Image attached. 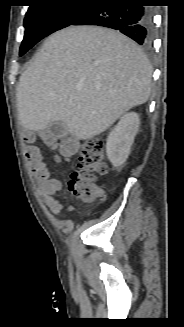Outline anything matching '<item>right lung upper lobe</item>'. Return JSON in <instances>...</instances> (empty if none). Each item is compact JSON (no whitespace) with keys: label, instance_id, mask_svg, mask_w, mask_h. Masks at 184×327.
Here are the masks:
<instances>
[{"label":"right lung upper lobe","instance_id":"cb5924a9","mask_svg":"<svg viewBox=\"0 0 184 327\" xmlns=\"http://www.w3.org/2000/svg\"><path fill=\"white\" fill-rule=\"evenodd\" d=\"M33 3H40V2H45V1H50V0H31ZM32 6V5H31ZM30 6V7H31Z\"/></svg>","mask_w":184,"mask_h":327}]
</instances>
